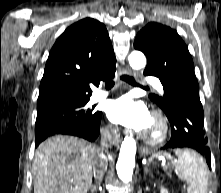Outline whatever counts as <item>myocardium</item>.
<instances>
[{"label": "myocardium", "mask_w": 221, "mask_h": 193, "mask_svg": "<svg viewBox=\"0 0 221 193\" xmlns=\"http://www.w3.org/2000/svg\"><path fill=\"white\" fill-rule=\"evenodd\" d=\"M151 116L156 119L159 124V134L157 136H150L142 131L140 136L146 143L150 145H160L168 138V124L164 116L156 110L151 112Z\"/></svg>", "instance_id": "myocardium-1"}]
</instances>
